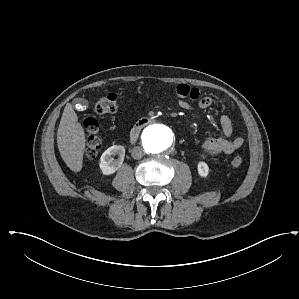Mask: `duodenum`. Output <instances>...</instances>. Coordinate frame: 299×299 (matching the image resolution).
Listing matches in <instances>:
<instances>
[{"label": "duodenum", "mask_w": 299, "mask_h": 299, "mask_svg": "<svg viewBox=\"0 0 299 299\" xmlns=\"http://www.w3.org/2000/svg\"><path fill=\"white\" fill-rule=\"evenodd\" d=\"M154 117H143L141 119H139L134 126L132 127L131 131H130V142L134 143L136 141V139L139 136V133L141 132V130L147 126L148 124L154 122Z\"/></svg>", "instance_id": "1"}]
</instances>
